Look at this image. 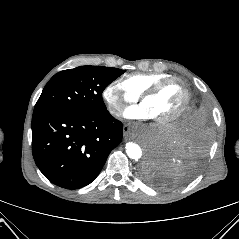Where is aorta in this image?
Instances as JSON below:
<instances>
[{"label":"aorta","mask_w":239,"mask_h":239,"mask_svg":"<svg viewBox=\"0 0 239 239\" xmlns=\"http://www.w3.org/2000/svg\"><path fill=\"white\" fill-rule=\"evenodd\" d=\"M126 153L130 159L139 160L142 157L141 147L133 142H128L126 144Z\"/></svg>","instance_id":"762f6f07"}]
</instances>
